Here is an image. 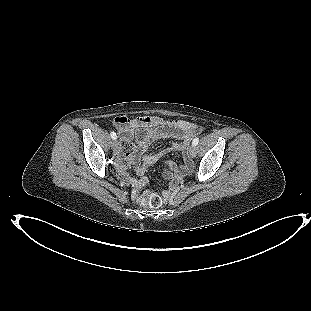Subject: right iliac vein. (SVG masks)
Returning <instances> with one entry per match:
<instances>
[{"label": "right iliac vein", "instance_id": "1", "mask_svg": "<svg viewBox=\"0 0 311 311\" xmlns=\"http://www.w3.org/2000/svg\"><path fill=\"white\" fill-rule=\"evenodd\" d=\"M118 148H119V142L117 140H114L112 142V149H113V151L116 152L118 150Z\"/></svg>", "mask_w": 311, "mask_h": 311}]
</instances>
